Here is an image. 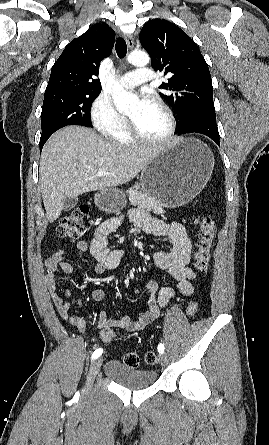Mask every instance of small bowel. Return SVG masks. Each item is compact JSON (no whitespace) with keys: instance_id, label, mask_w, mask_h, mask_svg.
<instances>
[{"instance_id":"1","label":"small bowel","mask_w":269,"mask_h":445,"mask_svg":"<svg viewBox=\"0 0 269 445\" xmlns=\"http://www.w3.org/2000/svg\"><path fill=\"white\" fill-rule=\"evenodd\" d=\"M130 218L143 232L157 237L170 238L173 244L172 251L156 252L153 255L154 263L158 268L167 271L177 282V289L181 295L185 297L192 295L194 291L193 281L196 275L189 267L191 243L184 226L178 222L165 223L142 210H133L130 213ZM117 223L116 220L103 222L96 228L90 244L82 240L76 244L79 252H90L94 257L96 260L94 271L97 274L116 270L120 265L123 251L120 249H108L109 235L114 231ZM65 256V251L58 249L46 260L48 274L46 275L45 283L61 318L80 332L86 333L85 319L71 312L72 306H82V300L75 299L67 302L55 284V275L59 269L67 275L72 273V266L65 261ZM145 288L149 294L147 310L135 320L127 316L111 319L104 310L99 313L98 326L101 329V338L104 342H106L104 338L105 333L113 332V329L134 332L146 328L158 318L161 310L176 294L174 288L169 286L159 287L153 281L148 282ZM136 292H138V289H136ZM90 298L93 301L102 302L106 298V291L102 289L92 290Z\"/></svg>"}]
</instances>
